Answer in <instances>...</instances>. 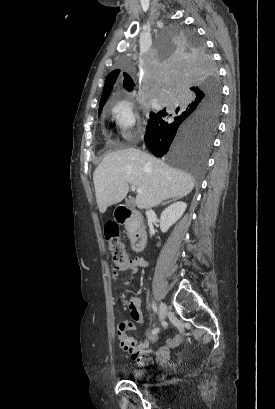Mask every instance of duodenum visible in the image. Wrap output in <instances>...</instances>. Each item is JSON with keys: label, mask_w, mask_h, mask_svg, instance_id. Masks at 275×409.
Instances as JSON below:
<instances>
[{"label": "duodenum", "mask_w": 275, "mask_h": 409, "mask_svg": "<svg viewBox=\"0 0 275 409\" xmlns=\"http://www.w3.org/2000/svg\"><path fill=\"white\" fill-rule=\"evenodd\" d=\"M116 221L120 224L131 225V245L133 250L140 252L144 249L147 242V232L143 224L142 215L125 205H120L115 211Z\"/></svg>", "instance_id": "1"}]
</instances>
